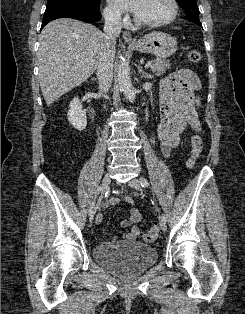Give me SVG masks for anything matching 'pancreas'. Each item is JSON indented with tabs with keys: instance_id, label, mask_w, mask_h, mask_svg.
Wrapping results in <instances>:
<instances>
[{
	"instance_id": "obj_1",
	"label": "pancreas",
	"mask_w": 245,
	"mask_h": 314,
	"mask_svg": "<svg viewBox=\"0 0 245 314\" xmlns=\"http://www.w3.org/2000/svg\"><path fill=\"white\" fill-rule=\"evenodd\" d=\"M171 64L168 60L155 59L152 61L151 71L154 75L160 76L165 73L166 69H170Z\"/></svg>"
}]
</instances>
